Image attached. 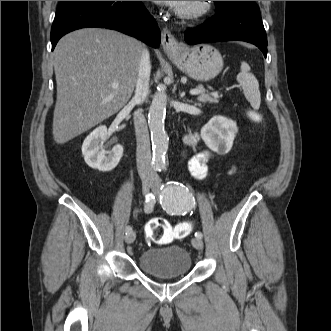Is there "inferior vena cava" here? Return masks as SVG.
Masks as SVG:
<instances>
[{
	"mask_svg": "<svg viewBox=\"0 0 331 331\" xmlns=\"http://www.w3.org/2000/svg\"><path fill=\"white\" fill-rule=\"evenodd\" d=\"M150 71L149 52L147 49H144L140 60L135 95L131 101L132 104L140 105L145 101L149 92ZM133 119L137 142L136 160L138 172L140 176H155L151 163L150 139L146 119L141 111H136Z\"/></svg>",
	"mask_w": 331,
	"mask_h": 331,
	"instance_id": "inferior-vena-cava-1",
	"label": "inferior vena cava"
}]
</instances>
